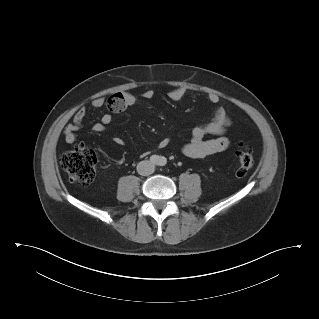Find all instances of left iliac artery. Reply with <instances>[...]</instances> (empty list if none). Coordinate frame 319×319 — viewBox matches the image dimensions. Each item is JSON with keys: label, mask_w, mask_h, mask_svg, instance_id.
I'll return each instance as SVG.
<instances>
[{"label": "left iliac artery", "mask_w": 319, "mask_h": 319, "mask_svg": "<svg viewBox=\"0 0 319 319\" xmlns=\"http://www.w3.org/2000/svg\"><path fill=\"white\" fill-rule=\"evenodd\" d=\"M166 163H167V159H166L165 157H160V158H159L158 164H159L160 166H165Z\"/></svg>", "instance_id": "44dca946"}]
</instances>
